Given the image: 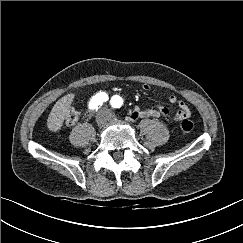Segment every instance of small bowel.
Here are the masks:
<instances>
[{
    "mask_svg": "<svg viewBox=\"0 0 243 243\" xmlns=\"http://www.w3.org/2000/svg\"><path fill=\"white\" fill-rule=\"evenodd\" d=\"M142 88L144 91H149L151 87L149 84H143ZM167 98L170 103L176 104L177 107L179 108V111L174 115H170L168 110L165 107L154 104L150 108H142L140 106H136L131 112L129 119L136 120L138 118H143V117L163 116L168 123H176L188 119L191 116V111L188 105L184 101L179 100L171 92L167 93Z\"/></svg>",
    "mask_w": 243,
    "mask_h": 243,
    "instance_id": "obj_1",
    "label": "small bowel"
}]
</instances>
